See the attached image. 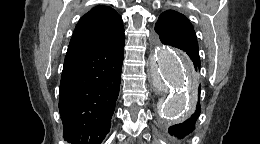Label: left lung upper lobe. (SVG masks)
<instances>
[{
  "instance_id": "left-lung-upper-lobe-1",
  "label": "left lung upper lobe",
  "mask_w": 260,
  "mask_h": 144,
  "mask_svg": "<svg viewBox=\"0 0 260 144\" xmlns=\"http://www.w3.org/2000/svg\"><path fill=\"white\" fill-rule=\"evenodd\" d=\"M155 31L162 43L169 40L197 43V37L190 21L183 14L174 10H167L159 16ZM196 65L195 70L200 71V61Z\"/></svg>"
}]
</instances>
